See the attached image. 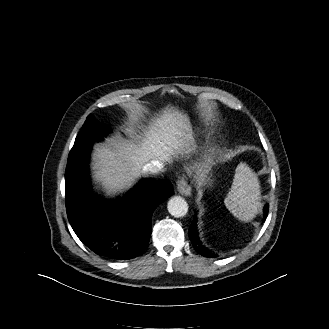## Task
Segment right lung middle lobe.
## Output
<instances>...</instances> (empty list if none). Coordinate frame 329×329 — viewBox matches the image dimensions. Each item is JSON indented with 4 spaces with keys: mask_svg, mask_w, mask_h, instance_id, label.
I'll return each instance as SVG.
<instances>
[{
    "mask_svg": "<svg viewBox=\"0 0 329 329\" xmlns=\"http://www.w3.org/2000/svg\"><path fill=\"white\" fill-rule=\"evenodd\" d=\"M109 128L100 123L92 114H89L82 129L77 135L74 145L69 153L68 162L88 150L95 141L103 139Z\"/></svg>",
    "mask_w": 329,
    "mask_h": 329,
    "instance_id": "1",
    "label": "right lung middle lobe"
}]
</instances>
